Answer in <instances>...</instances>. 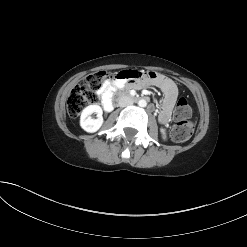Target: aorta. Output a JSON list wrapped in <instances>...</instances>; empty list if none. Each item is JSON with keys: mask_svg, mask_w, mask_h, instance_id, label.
Returning <instances> with one entry per match:
<instances>
[{"mask_svg": "<svg viewBox=\"0 0 247 247\" xmlns=\"http://www.w3.org/2000/svg\"><path fill=\"white\" fill-rule=\"evenodd\" d=\"M138 105L140 107H146L147 106V102H146V100L141 99V100L138 101Z\"/></svg>", "mask_w": 247, "mask_h": 247, "instance_id": "762f6f07", "label": "aorta"}]
</instances>
